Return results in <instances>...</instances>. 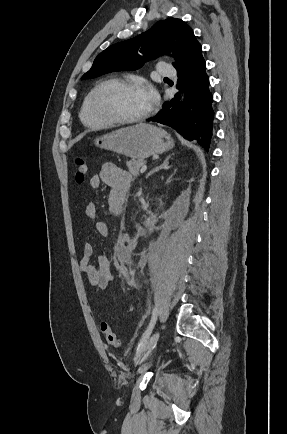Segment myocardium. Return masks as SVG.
I'll use <instances>...</instances> for the list:
<instances>
[{"instance_id": "1", "label": "myocardium", "mask_w": 287, "mask_h": 434, "mask_svg": "<svg viewBox=\"0 0 287 434\" xmlns=\"http://www.w3.org/2000/svg\"><path fill=\"white\" fill-rule=\"evenodd\" d=\"M143 82H141L140 80H135V79H128V78H112V79H108L104 82H102L101 84H99L91 97V101H90V107H91V111L93 113V115L99 119L100 121H102L105 125L109 124V125H131V124H136V123H140L142 121H144L145 119H147L151 112L152 109L149 108L145 113H143L140 116L137 117H133V118H127V119H121V118H116L112 115H109L105 112L102 111L101 107H100V100L102 97V94L104 93V91H106L108 88L110 87H143Z\"/></svg>"}]
</instances>
